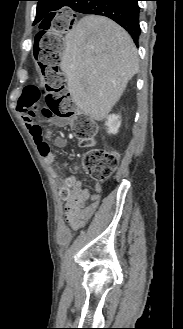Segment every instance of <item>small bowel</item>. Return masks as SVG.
I'll return each mask as SVG.
<instances>
[{
  "label": "small bowel",
  "mask_w": 183,
  "mask_h": 329,
  "mask_svg": "<svg viewBox=\"0 0 183 329\" xmlns=\"http://www.w3.org/2000/svg\"><path fill=\"white\" fill-rule=\"evenodd\" d=\"M22 121L24 122L33 142L38 147L39 153L44 157V160L46 162H51L54 158V154L51 152V146L49 148V151L47 153H42L40 150V145L42 141H46L41 129H35L36 126H38L33 116L30 114H19ZM60 125H64L65 122L61 121L59 122ZM40 127V126H39ZM66 143V139L63 136L57 137L54 140V145L56 147H63ZM69 181L73 188L79 191L80 193V202L78 205H72L70 203H67L66 209H65V216L69 224L74 227L78 228L80 226H83L95 213L96 209L98 208L99 202H100V190L101 187L99 184L96 185V192L94 194H89L86 189L83 188L82 182L78 180L75 176H71L69 178ZM89 202L87 203V201Z\"/></svg>",
  "instance_id": "small-bowel-1"
}]
</instances>
